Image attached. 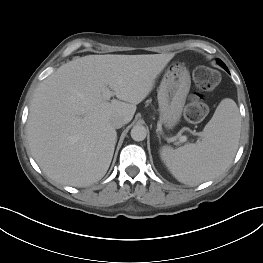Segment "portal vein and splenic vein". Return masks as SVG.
<instances>
[{
	"label": "portal vein and splenic vein",
	"instance_id": "18ae733b",
	"mask_svg": "<svg viewBox=\"0 0 263 263\" xmlns=\"http://www.w3.org/2000/svg\"><path fill=\"white\" fill-rule=\"evenodd\" d=\"M104 93H105V95H106V97H107L108 99H110L111 96H113V93H112L111 91H109V90L104 91ZM178 139H179L181 142H185V141L187 140V137H186V136H179Z\"/></svg>",
	"mask_w": 263,
	"mask_h": 263
}]
</instances>
